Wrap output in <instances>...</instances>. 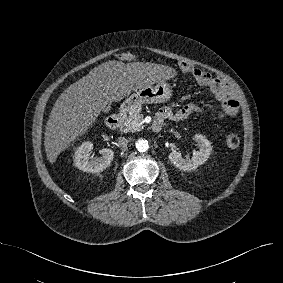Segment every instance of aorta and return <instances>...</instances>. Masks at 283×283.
Instances as JSON below:
<instances>
[{
	"label": "aorta",
	"instance_id": "aorta-1",
	"mask_svg": "<svg viewBox=\"0 0 283 283\" xmlns=\"http://www.w3.org/2000/svg\"><path fill=\"white\" fill-rule=\"evenodd\" d=\"M135 147L139 152H146L149 149V143L146 139L140 138L135 142Z\"/></svg>",
	"mask_w": 283,
	"mask_h": 283
}]
</instances>
